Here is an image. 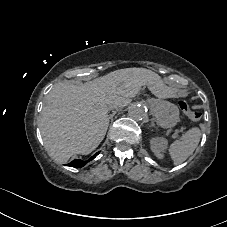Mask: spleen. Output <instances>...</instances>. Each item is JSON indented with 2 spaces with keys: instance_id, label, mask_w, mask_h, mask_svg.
Instances as JSON below:
<instances>
[{
  "instance_id": "spleen-1",
  "label": "spleen",
  "mask_w": 227,
  "mask_h": 227,
  "mask_svg": "<svg viewBox=\"0 0 227 227\" xmlns=\"http://www.w3.org/2000/svg\"><path fill=\"white\" fill-rule=\"evenodd\" d=\"M201 139V130L197 127L188 130L181 139L171 143L167 152L175 166L185 162L193 154Z\"/></svg>"
}]
</instances>
